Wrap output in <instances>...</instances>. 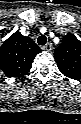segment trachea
Here are the masks:
<instances>
[{
	"mask_svg": "<svg viewBox=\"0 0 81 124\" xmlns=\"http://www.w3.org/2000/svg\"><path fill=\"white\" fill-rule=\"evenodd\" d=\"M46 42H47V38H46L45 35H41V36H39L38 39H37V43H38L39 45H41V46L45 45Z\"/></svg>",
	"mask_w": 81,
	"mask_h": 124,
	"instance_id": "1",
	"label": "trachea"
}]
</instances>
